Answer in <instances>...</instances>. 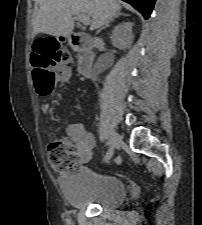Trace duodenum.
<instances>
[{
  "instance_id": "obj_1",
  "label": "duodenum",
  "mask_w": 202,
  "mask_h": 225,
  "mask_svg": "<svg viewBox=\"0 0 202 225\" xmlns=\"http://www.w3.org/2000/svg\"><path fill=\"white\" fill-rule=\"evenodd\" d=\"M58 39L63 43H68L77 53L79 58L78 72L85 77L94 76L93 62L95 55L92 51V44L89 37L83 33L69 32L58 36Z\"/></svg>"
}]
</instances>
